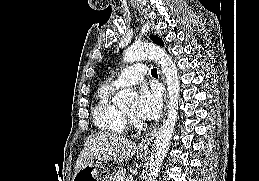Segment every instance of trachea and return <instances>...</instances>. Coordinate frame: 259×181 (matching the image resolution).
I'll return each mask as SVG.
<instances>
[{
  "mask_svg": "<svg viewBox=\"0 0 259 181\" xmlns=\"http://www.w3.org/2000/svg\"><path fill=\"white\" fill-rule=\"evenodd\" d=\"M151 75H152V76H157V69H156V68H153V69L151 70Z\"/></svg>",
  "mask_w": 259,
  "mask_h": 181,
  "instance_id": "3493384b",
  "label": "trachea"
}]
</instances>
